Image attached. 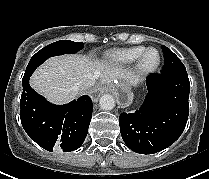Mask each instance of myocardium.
Returning <instances> with one entry per match:
<instances>
[{
    "label": "myocardium",
    "instance_id": "myocardium-1",
    "mask_svg": "<svg viewBox=\"0 0 209 179\" xmlns=\"http://www.w3.org/2000/svg\"><path fill=\"white\" fill-rule=\"evenodd\" d=\"M150 51H155L158 55V59L155 64H153L151 66H147L145 64L144 60H145L146 55ZM161 61H162V56H161L160 51L157 48H155V47L145 48L135 62L136 71L141 75L152 74L160 67Z\"/></svg>",
    "mask_w": 209,
    "mask_h": 179
}]
</instances>
